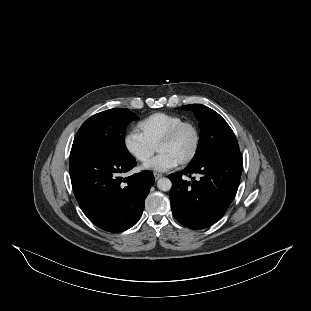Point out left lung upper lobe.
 Here are the masks:
<instances>
[{
  "mask_svg": "<svg viewBox=\"0 0 311 311\" xmlns=\"http://www.w3.org/2000/svg\"><path fill=\"white\" fill-rule=\"evenodd\" d=\"M182 109L194 112L201 130L198 147L189 166L199 165L222 154L240 152L234 132L217 112L202 104L185 105Z\"/></svg>",
  "mask_w": 311,
  "mask_h": 311,
  "instance_id": "obj_1",
  "label": "left lung upper lobe"
}]
</instances>
